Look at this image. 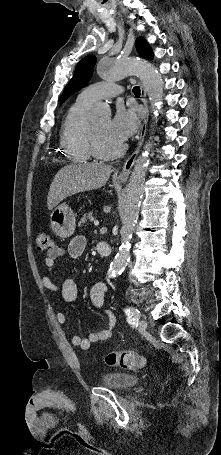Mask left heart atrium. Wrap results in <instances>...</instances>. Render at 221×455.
Returning <instances> with one entry per match:
<instances>
[{"label": "left heart atrium", "mask_w": 221, "mask_h": 455, "mask_svg": "<svg viewBox=\"0 0 221 455\" xmlns=\"http://www.w3.org/2000/svg\"><path fill=\"white\" fill-rule=\"evenodd\" d=\"M138 125L139 119L134 108L119 107L110 122V130L123 142L137 130Z\"/></svg>", "instance_id": "obj_1"}]
</instances>
